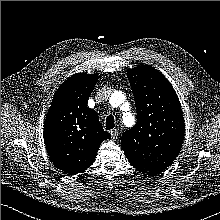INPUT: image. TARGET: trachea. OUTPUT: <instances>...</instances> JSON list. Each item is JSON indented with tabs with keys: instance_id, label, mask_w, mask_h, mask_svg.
Wrapping results in <instances>:
<instances>
[{
	"instance_id": "3493384b",
	"label": "trachea",
	"mask_w": 220,
	"mask_h": 220,
	"mask_svg": "<svg viewBox=\"0 0 220 220\" xmlns=\"http://www.w3.org/2000/svg\"><path fill=\"white\" fill-rule=\"evenodd\" d=\"M115 127L114 117L112 115L107 116L106 118V130L113 129Z\"/></svg>"
}]
</instances>
